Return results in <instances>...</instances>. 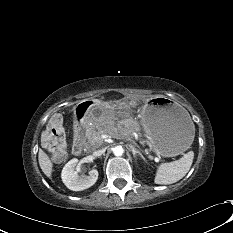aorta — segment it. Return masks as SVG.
Returning a JSON list of instances; mask_svg holds the SVG:
<instances>
[{"mask_svg":"<svg viewBox=\"0 0 233 233\" xmlns=\"http://www.w3.org/2000/svg\"><path fill=\"white\" fill-rule=\"evenodd\" d=\"M112 151L115 156H122L124 153V149L120 145L115 146Z\"/></svg>","mask_w":233,"mask_h":233,"instance_id":"aorta-1","label":"aorta"}]
</instances>
